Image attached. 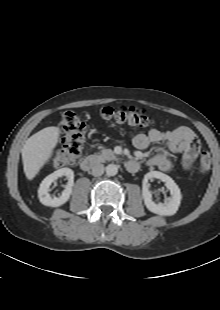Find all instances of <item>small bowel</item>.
Returning <instances> with one entry per match:
<instances>
[{"instance_id":"small-bowel-1","label":"small bowel","mask_w":220,"mask_h":310,"mask_svg":"<svg viewBox=\"0 0 220 310\" xmlns=\"http://www.w3.org/2000/svg\"><path fill=\"white\" fill-rule=\"evenodd\" d=\"M132 142L139 150L146 149L150 144L162 143L169 152L182 154V167L185 170L191 168L200 151V141L189 127L181 126L169 131L151 129L148 133H137L133 135ZM147 163L156 166L164 172L173 168L170 158L159 152L148 159Z\"/></svg>"}]
</instances>
